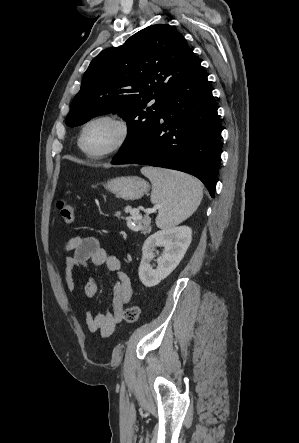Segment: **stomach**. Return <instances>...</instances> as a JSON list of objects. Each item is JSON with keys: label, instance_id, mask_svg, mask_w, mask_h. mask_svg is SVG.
Wrapping results in <instances>:
<instances>
[{"label": "stomach", "instance_id": "stomach-1", "mask_svg": "<svg viewBox=\"0 0 299 443\" xmlns=\"http://www.w3.org/2000/svg\"><path fill=\"white\" fill-rule=\"evenodd\" d=\"M105 188L126 200H136L147 194L150 186L147 181L137 176H123L109 180Z\"/></svg>", "mask_w": 299, "mask_h": 443}]
</instances>
